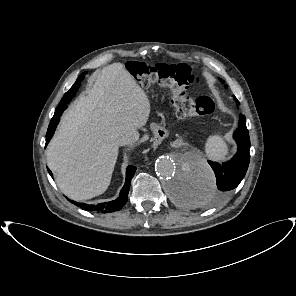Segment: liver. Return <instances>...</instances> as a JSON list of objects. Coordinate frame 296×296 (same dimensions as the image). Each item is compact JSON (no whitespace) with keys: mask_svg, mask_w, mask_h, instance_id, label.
Masks as SVG:
<instances>
[{"mask_svg":"<svg viewBox=\"0 0 296 296\" xmlns=\"http://www.w3.org/2000/svg\"><path fill=\"white\" fill-rule=\"evenodd\" d=\"M150 115L145 92L121 63L104 67L95 83L62 117L47 148V163L59 189L74 200L104 193L118 157V139L133 135Z\"/></svg>","mask_w":296,"mask_h":296,"instance_id":"obj_1","label":"liver"}]
</instances>
